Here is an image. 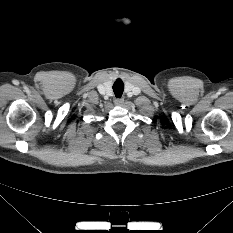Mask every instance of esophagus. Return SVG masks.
Here are the masks:
<instances>
[{
    "instance_id": "obj_1",
    "label": "esophagus",
    "mask_w": 233,
    "mask_h": 233,
    "mask_svg": "<svg viewBox=\"0 0 233 233\" xmlns=\"http://www.w3.org/2000/svg\"><path fill=\"white\" fill-rule=\"evenodd\" d=\"M114 102H115L116 106H121L124 102V99L123 98H116Z\"/></svg>"
}]
</instances>
